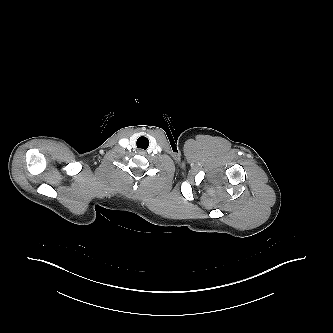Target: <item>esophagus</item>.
<instances>
[{
  "instance_id": "esophagus-1",
  "label": "esophagus",
  "mask_w": 333,
  "mask_h": 333,
  "mask_svg": "<svg viewBox=\"0 0 333 333\" xmlns=\"http://www.w3.org/2000/svg\"><path fill=\"white\" fill-rule=\"evenodd\" d=\"M138 153L141 155H145L146 152L144 150H139Z\"/></svg>"
}]
</instances>
